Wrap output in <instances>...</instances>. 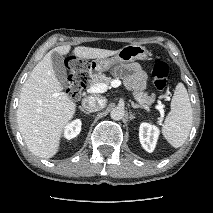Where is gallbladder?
I'll return each instance as SVG.
<instances>
[{"label": "gallbladder", "instance_id": "gallbladder-1", "mask_svg": "<svg viewBox=\"0 0 213 213\" xmlns=\"http://www.w3.org/2000/svg\"><path fill=\"white\" fill-rule=\"evenodd\" d=\"M51 61L56 78L62 85H65L67 83V73L64 65V57L58 52H53L51 54Z\"/></svg>", "mask_w": 213, "mask_h": 213}]
</instances>
